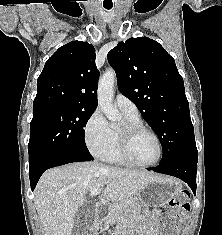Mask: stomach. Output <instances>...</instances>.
Here are the masks:
<instances>
[{
	"instance_id": "stomach-1",
	"label": "stomach",
	"mask_w": 222,
	"mask_h": 235,
	"mask_svg": "<svg viewBox=\"0 0 222 235\" xmlns=\"http://www.w3.org/2000/svg\"><path fill=\"white\" fill-rule=\"evenodd\" d=\"M181 191V183L174 178L159 177L149 182L134 198L135 206L160 207L167 204Z\"/></svg>"
}]
</instances>
